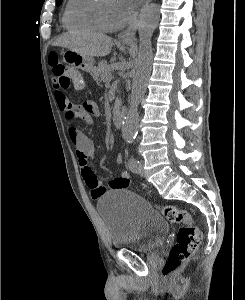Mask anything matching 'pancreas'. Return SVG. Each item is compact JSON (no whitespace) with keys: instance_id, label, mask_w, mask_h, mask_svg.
Segmentation results:
<instances>
[{"instance_id":"cf45deb5","label":"pancreas","mask_w":245,"mask_h":300,"mask_svg":"<svg viewBox=\"0 0 245 300\" xmlns=\"http://www.w3.org/2000/svg\"><path fill=\"white\" fill-rule=\"evenodd\" d=\"M92 77L97 82L109 83L111 81L112 75L110 72V66L107 62L102 61L98 64L97 67L92 69ZM117 111V108H114L113 113Z\"/></svg>"}]
</instances>
